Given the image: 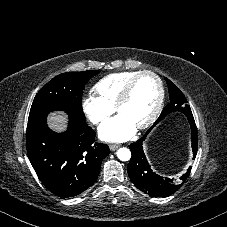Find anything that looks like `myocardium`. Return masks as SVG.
I'll return each mask as SVG.
<instances>
[{
    "mask_svg": "<svg viewBox=\"0 0 227 227\" xmlns=\"http://www.w3.org/2000/svg\"><path fill=\"white\" fill-rule=\"evenodd\" d=\"M144 75H149L151 77H153L158 85V98H157V102L156 105L151 113V115L149 116V118L144 121L143 123L139 124L137 126L138 129H145L150 127L158 118L160 111L162 109L163 106V102H164V86H163V82L161 80V78L153 71L150 70H142L137 72L126 84L125 88L123 89L122 93L120 94L119 98L116 101L115 104V110L119 112L120 107L126 103L134 90L135 84L137 82V80Z\"/></svg>",
    "mask_w": 227,
    "mask_h": 227,
    "instance_id": "myocardium-1",
    "label": "myocardium"
}]
</instances>
